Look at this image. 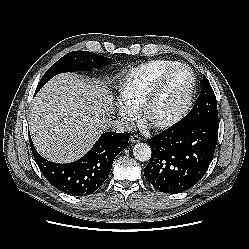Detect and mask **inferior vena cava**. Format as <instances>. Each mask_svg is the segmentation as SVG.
<instances>
[{
  "label": "inferior vena cava",
  "mask_w": 249,
  "mask_h": 249,
  "mask_svg": "<svg viewBox=\"0 0 249 249\" xmlns=\"http://www.w3.org/2000/svg\"><path fill=\"white\" fill-rule=\"evenodd\" d=\"M109 126L112 131L118 133L128 132L133 128V125L129 121L122 118L111 121Z\"/></svg>",
  "instance_id": "602c4592"
}]
</instances>
